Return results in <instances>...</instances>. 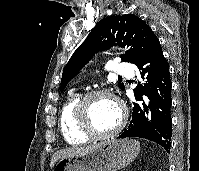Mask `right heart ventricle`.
Wrapping results in <instances>:
<instances>
[{
	"label": "right heart ventricle",
	"mask_w": 199,
	"mask_h": 171,
	"mask_svg": "<svg viewBox=\"0 0 199 171\" xmlns=\"http://www.w3.org/2000/svg\"><path fill=\"white\" fill-rule=\"evenodd\" d=\"M81 98V94L70 91L61 107L59 115V126L65 141L72 145L86 143L90 137L83 134L78 126L76 117V106Z\"/></svg>",
	"instance_id": "right-heart-ventricle-1"
}]
</instances>
